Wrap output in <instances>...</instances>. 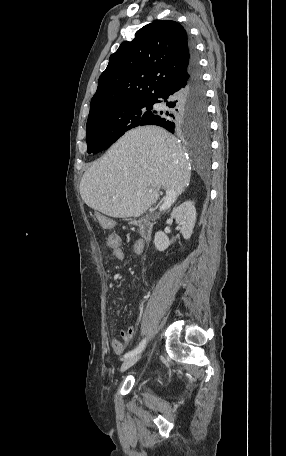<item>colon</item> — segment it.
<instances>
[{
    "label": "colon",
    "mask_w": 286,
    "mask_h": 456,
    "mask_svg": "<svg viewBox=\"0 0 286 456\" xmlns=\"http://www.w3.org/2000/svg\"><path fill=\"white\" fill-rule=\"evenodd\" d=\"M110 241H113V237L110 239Z\"/></svg>",
    "instance_id": "5ec220e1"
}]
</instances>
